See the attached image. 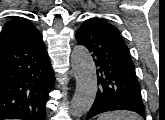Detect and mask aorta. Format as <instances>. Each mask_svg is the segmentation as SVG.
<instances>
[{
  "mask_svg": "<svg viewBox=\"0 0 165 120\" xmlns=\"http://www.w3.org/2000/svg\"><path fill=\"white\" fill-rule=\"evenodd\" d=\"M76 89L71 101V115L81 117L91 108L97 93V74L93 58L86 47L76 45L71 54Z\"/></svg>",
  "mask_w": 165,
  "mask_h": 120,
  "instance_id": "762f6f07",
  "label": "aorta"
}]
</instances>
